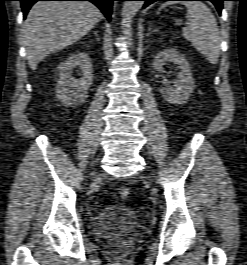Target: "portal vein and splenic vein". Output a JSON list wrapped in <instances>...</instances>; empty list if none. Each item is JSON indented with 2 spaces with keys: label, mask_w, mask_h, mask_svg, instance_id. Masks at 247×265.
Segmentation results:
<instances>
[{
  "label": "portal vein and splenic vein",
  "mask_w": 247,
  "mask_h": 265,
  "mask_svg": "<svg viewBox=\"0 0 247 265\" xmlns=\"http://www.w3.org/2000/svg\"><path fill=\"white\" fill-rule=\"evenodd\" d=\"M182 23L179 21V22H177V25H181Z\"/></svg>",
  "instance_id": "obj_1"
}]
</instances>
